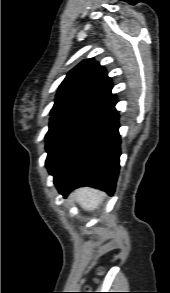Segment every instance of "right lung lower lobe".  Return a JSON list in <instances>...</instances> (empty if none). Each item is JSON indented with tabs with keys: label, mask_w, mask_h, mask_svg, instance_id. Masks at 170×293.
<instances>
[{
	"label": "right lung lower lobe",
	"mask_w": 170,
	"mask_h": 293,
	"mask_svg": "<svg viewBox=\"0 0 170 293\" xmlns=\"http://www.w3.org/2000/svg\"><path fill=\"white\" fill-rule=\"evenodd\" d=\"M118 128V112L112 108L93 134L54 176L60 193L66 196L77 187L91 186L113 194L120 162Z\"/></svg>",
	"instance_id": "obj_1"
}]
</instances>
